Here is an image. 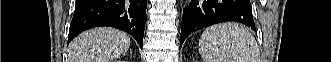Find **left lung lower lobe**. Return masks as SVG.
<instances>
[{
  "mask_svg": "<svg viewBox=\"0 0 331 62\" xmlns=\"http://www.w3.org/2000/svg\"><path fill=\"white\" fill-rule=\"evenodd\" d=\"M234 21L255 30L249 0H192L183 10L180 46L193 32L210 25Z\"/></svg>",
  "mask_w": 331,
  "mask_h": 62,
  "instance_id": "1",
  "label": "left lung lower lobe"
}]
</instances>
